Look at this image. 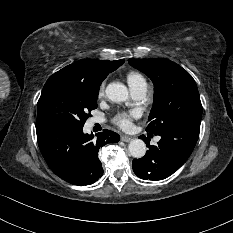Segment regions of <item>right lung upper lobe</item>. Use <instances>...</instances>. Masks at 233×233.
<instances>
[{"label": "right lung upper lobe", "instance_id": "obj_1", "mask_svg": "<svg viewBox=\"0 0 233 233\" xmlns=\"http://www.w3.org/2000/svg\"><path fill=\"white\" fill-rule=\"evenodd\" d=\"M123 63L124 60H82L64 67L55 74L68 76L89 87H99L107 75Z\"/></svg>", "mask_w": 233, "mask_h": 233}]
</instances>
